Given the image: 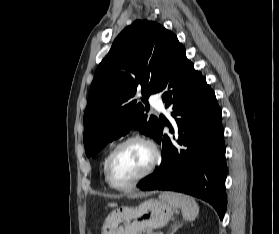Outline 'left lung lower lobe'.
<instances>
[{"label":"left lung lower lobe","mask_w":279,"mask_h":234,"mask_svg":"<svg viewBox=\"0 0 279 234\" xmlns=\"http://www.w3.org/2000/svg\"><path fill=\"white\" fill-rule=\"evenodd\" d=\"M165 107L172 110L176 137L163 135L159 122L155 140L162 143L163 161L139 182L143 190H172L209 202L223 219L227 199L222 112L205 77L194 69L182 47L159 85Z\"/></svg>","instance_id":"1"}]
</instances>
